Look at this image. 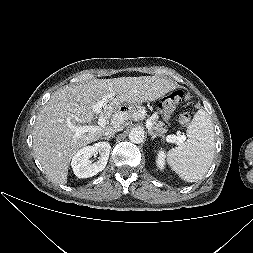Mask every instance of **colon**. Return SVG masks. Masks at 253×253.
Listing matches in <instances>:
<instances>
[{
    "instance_id": "obj_1",
    "label": "colon",
    "mask_w": 253,
    "mask_h": 253,
    "mask_svg": "<svg viewBox=\"0 0 253 253\" xmlns=\"http://www.w3.org/2000/svg\"><path fill=\"white\" fill-rule=\"evenodd\" d=\"M184 96V92L182 90H175L174 92H172L169 96H167L164 99V103L166 105L167 109H171L176 107L179 102L182 100ZM180 123L182 125H187L190 121V115L188 113H182L180 115Z\"/></svg>"
}]
</instances>
